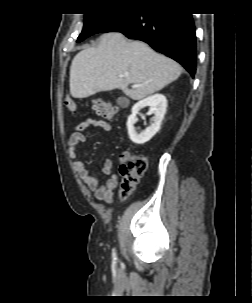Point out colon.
Returning a JSON list of instances; mask_svg holds the SVG:
<instances>
[{
    "instance_id": "1",
    "label": "colon",
    "mask_w": 252,
    "mask_h": 303,
    "mask_svg": "<svg viewBox=\"0 0 252 303\" xmlns=\"http://www.w3.org/2000/svg\"><path fill=\"white\" fill-rule=\"evenodd\" d=\"M64 103L68 111H76L77 106L74 98L68 97L65 99ZM92 104L94 109L107 120L112 119L117 112L116 106L104 100L95 99L92 101ZM146 169L147 159L145 156L132 153H124L122 155V162L119 170L122 176V199H127L131 195L140 178L146 172Z\"/></svg>"
}]
</instances>
